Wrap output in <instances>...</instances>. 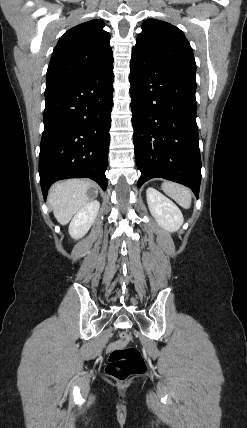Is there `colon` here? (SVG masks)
<instances>
[{"label": "colon", "mask_w": 247, "mask_h": 428, "mask_svg": "<svg viewBox=\"0 0 247 428\" xmlns=\"http://www.w3.org/2000/svg\"><path fill=\"white\" fill-rule=\"evenodd\" d=\"M130 339L127 333L121 335V338L111 346L106 365L107 374L119 381L141 374L146 368L140 351L129 345Z\"/></svg>", "instance_id": "obj_1"}]
</instances>
